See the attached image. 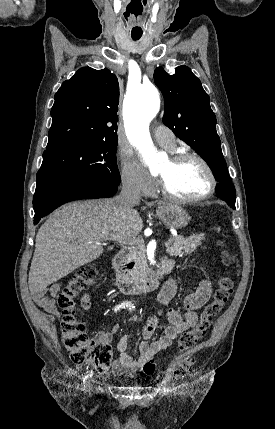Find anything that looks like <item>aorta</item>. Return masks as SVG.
<instances>
[{"instance_id":"762f6f07","label":"aorta","mask_w":275,"mask_h":429,"mask_svg":"<svg viewBox=\"0 0 275 429\" xmlns=\"http://www.w3.org/2000/svg\"><path fill=\"white\" fill-rule=\"evenodd\" d=\"M160 95L152 85L132 89L123 106L125 130L131 144L144 156L151 171L159 167V158L149 134V123L160 110Z\"/></svg>"}]
</instances>
